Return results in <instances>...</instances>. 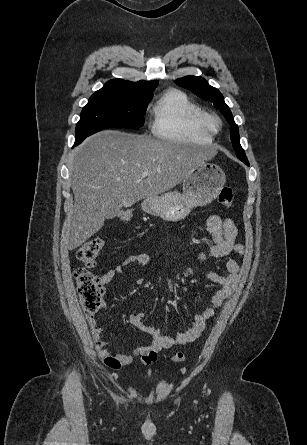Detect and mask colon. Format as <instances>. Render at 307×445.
<instances>
[{
	"label": "colon",
	"mask_w": 307,
	"mask_h": 445,
	"mask_svg": "<svg viewBox=\"0 0 307 445\" xmlns=\"http://www.w3.org/2000/svg\"><path fill=\"white\" fill-rule=\"evenodd\" d=\"M218 201L225 207H230L233 202V191L230 187H223L219 193ZM132 217L131 212L125 211L119 215V218L128 222ZM104 246V240L100 237H95L88 240L78 250L77 257L83 263V268H78L75 271L77 289L81 299L82 307L88 317L94 316L103 306V292L104 287L101 279L95 274L91 273L96 265V259ZM186 356L179 352L173 356L176 362H182Z\"/></svg>",
	"instance_id": "colon-1"
}]
</instances>
